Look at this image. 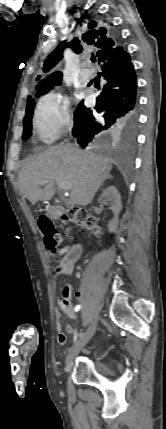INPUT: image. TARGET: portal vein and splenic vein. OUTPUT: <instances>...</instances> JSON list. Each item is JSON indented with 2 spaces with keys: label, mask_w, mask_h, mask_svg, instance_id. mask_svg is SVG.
I'll return each instance as SVG.
<instances>
[{
  "label": "portal vein and splenic vein",
  "mask_w": 166,
  "mask_h": 429,
  "mask_svg": "<svg viewBox=\"0 0 166 429\" xmlns=\"http://www.w3.org/2000/svg\"><path fill=\"white\" fill-rule=\"evenodd\" d=\"M47 181H43V183H46ZM58 186L64 190H70L72 187V184L69 181H62L58 184Z\"/></svg>",
  "instance_id": "1"
}]
</instances>
